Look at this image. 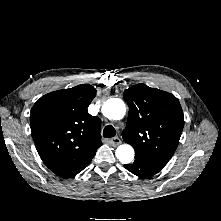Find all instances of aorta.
<instances>
[{"mask_svg": "<svg viewBox=\"0 0 221 221\" xmlns=\"http://www.w3.org/2000/svg\"><path fill=\"white\" fill-rule=\"evenodd\" d=\"M102 113L108 119L120 120L125 116V103L118 98L108 99L102 106ZM117 159L123 163H131L134 159V149L129 144H122L116 149Z\"/></svg>", "mask_w": 221, "mask_h": 221, "instance_id": "aorta-1", "label": "aorta"}]
</instances>
